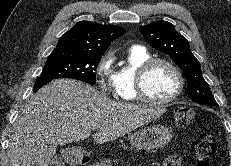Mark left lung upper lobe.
<instances>
[{"instance_id":"1","label":"left lung upper lobe","mask_w":231,"mask_h":166,"mask_svg":"<svg viewBox=\"0 0 231 166\" xmlns=\"http://www.w3.org/2000/svg\"><path fill=\"white\" fill-rule=\"evenodd\" d=\"M140 32L147 43L168 54L180 66L187 77L188 96L192 101L218 106L202 76L200 63L190 50L188 40L175 30L173 24L157 21L141 26Z\"/></svg>"}]
</instances>
